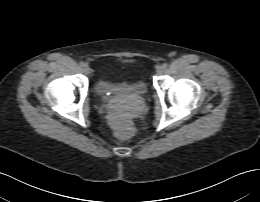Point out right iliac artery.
<instances>
[{
	"instance_id": "1",
	"label": "right iliac artery",
	"mask_w": 260,
	"mask_h": 202,
	"mask_svg": "<svg viewBox=\"0 0 260 202\" xmlns=\"http://www.w3.org/2000/svg\"><path fill=\"white\" fill-rule=\"evenodd\" d=\"M85 63L84 62H80V67H84Z\"/></svg>"
}]
</instances>
